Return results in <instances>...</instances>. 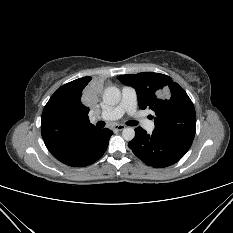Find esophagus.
Instances as JSON below:
<instances>
[{
    "label": "esophagus",
    "mask_w": 233,
    "mask_h": 233,
    "mask_svg": "<svg viewBox=\"0 0 233 233\" xmlns=\"http://www.w3.org/2000/svg\"><path fill=\"white\" fill-rule=\"evenodd\" d=\"M126 128L125 125H122V124H117L113 127L114 130H117V131H122Z\"/></svg>",
    "instance_id": "obj_1"
}]
</instances>
